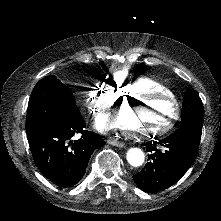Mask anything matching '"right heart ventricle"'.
<instances>
[{
	"instance_id": "right-heart-ventricle-1",
	"label": "right heart ventricle",
	"mask_w": 221,
	"mask_h": 221,
	"mask_svg": "<svg viewBox=\"0 0 221 221\" xmlns=\"http://www.w3.org/2000/svg\"><path fill=\"white\" fill-rule=\"evenodd\" d=\"M115 83L123 94V97L133 95L140 98L142 95H149L152 92L163 95L167 91L166 86L155 79H152L150 77L138 78L124 72H120L117 74Z\"/></svg>"
}]
</instances>
